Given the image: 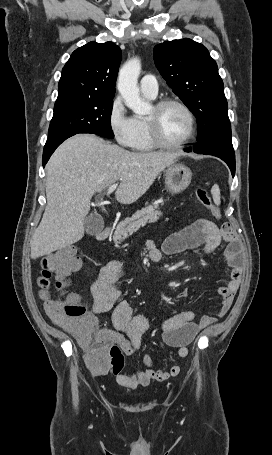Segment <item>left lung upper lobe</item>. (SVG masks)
Segmentation results:
<instances>
[{
	"instance_id": "1",
	"label": "left lung upper lobe",
	"mask_w": 272,
	"mask_h": 455,
	"mask_svg": "<svg viewBox=\"0 0 272 455\" xmlns=\"http://www.w3.org/2000/svg\"><path fill=\"white\" fill-rule=\"evenodd\" d=\"M160 74L198 122L197 142L231 130L218 67L207 48L191 39L166 41L154 48Z\"/></svg>"
}]
</instances>
